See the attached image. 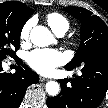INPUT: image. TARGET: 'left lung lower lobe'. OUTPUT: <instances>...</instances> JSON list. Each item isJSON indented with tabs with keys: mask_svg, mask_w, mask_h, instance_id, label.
Instances as JSON below:
<instances>
[{
	"mask_svg": "<svg viewBox=\"0 0 108 108\" xmlns=\"http://www.w3.org/2000/svg\"><path fill=\"white\" fill-rule=\"evenodd\" d=\"M81 67V76L59 81L61 92L47 99L48 108H97L100 105L108 91V63L84 64ZM72 92L76 94L71 96Z\"/></svg>",
	"mask_w": 108,
	"mask_h": 108,
	"instance_id": "1",
	"label": "left lung lower lobe"
}]
</instances>
